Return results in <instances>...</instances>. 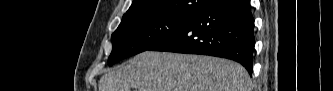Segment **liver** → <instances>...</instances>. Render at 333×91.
Masks as SVG:
<instances>
[{
	"label": "liver",
	"instance_id": "1",
	"mask_svg": "<svg viewBox=\"0 0 333 91\" xmlns=\"http://www.w3.org/2000/svg\"><path fill=\"white\" fill-rule=\"evenodd\" d=\"M99 91H251L240 64L221 58L145 51L103 75Z\"/></svg>",
	"mask_w": 333,
	"mask_h": 91
}]
</instances>
